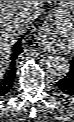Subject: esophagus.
<instances>
[{"mask_svg":"<svg viewBox=\"0 0 74 122\" xmlns=\"http://www.w3.org/2000/svg\"><path fill=\"white\" fill-rule=\"evenodd\" d=\"M48 31H49V26H48L47 23H44L43 26H42V28H41V30H40V34H39V36H40V39L39 40H40L41 46H44L45 43H46L45 40L47 38Z\"/></svg>","mask_w":74,"mask_h":122,"instance_id":"1","label":"esophagus"}]
</instances>
